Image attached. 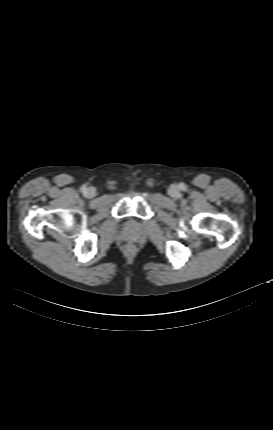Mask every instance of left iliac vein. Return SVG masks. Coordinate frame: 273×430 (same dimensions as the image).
I'll list each match as a JSON object with an SVG mask.
<instances>
[{
	"label": "left iliac vein",
	"instance_id": "1",
	"mask_svg": "<svg viewBox=\"0 0 273 430\" xmlns=\"http://www.w3.org/2000/svg\"><path fill=\"white\" fill-rule=\"evenodd\" d=\"M169 193L171 196H177L178 195V189L176 186H172L169 190Z\"/></svg>",
	"mask_w": 273,
	"mask_h": 430
}]
</instances>
